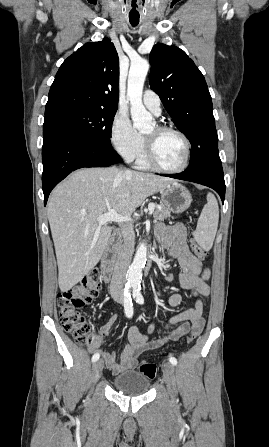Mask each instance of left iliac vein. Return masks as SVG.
Listing matches in <instances>:
<instances>
[{
	"mask_svg": "<svg viewBox=\"0 0 269 447\" xmlns=\"http://www.w3.org/2000/svg\"><path fill=\"white\" fill-rule=\"evenodd\" d=\"M174 375H175L174 366L169 362H164L163 363V378H164L165 383L167 384V389L171 396L172 401L175 400L174 388L172 386Z\"/></svg>",
	"mask_w": 269,
	"mask_h": 447,
	"instance_id": "1",
	"label": "left iliac vein"
}]
</instances>
